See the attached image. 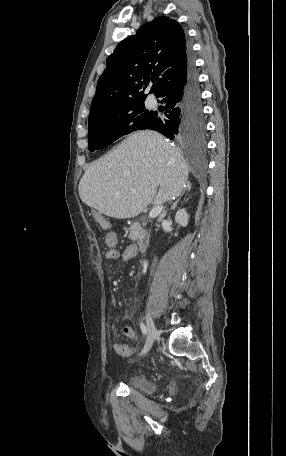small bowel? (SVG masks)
Segmentation results:
<instances>
[{
	"label": "small bowel",
	"instance_id": "small-bowel-1",
	"mask_svg": "<svg viewBox=\"0 0 286 456\" xmlns=\"http://www.w3.org/2000/svg\"><path fill=\"white\" fill-rule=\"evenodd\" d=\"M105 242H106V245L109 247V249L107 250V252L105 254V258L107 260L126 262V261H129V260L135 258L138 254V250L135 245H129V246L125 247L123 250H119L117 248L118 239H117L116 234L113 232L107 233V235L105 237ZM113 303H114V299H113ZM122 332L127 338H129L131 340L135 339V331L133 328L124 327ZM134 349H135L134 346H129L126 344L116 343L114 345L115 352L119 356H122V357L130 356L132 354V352L134 351Z\"/></svg>",
	"mask_w": 286,
	"mask_h": 456
}]
</instances>
